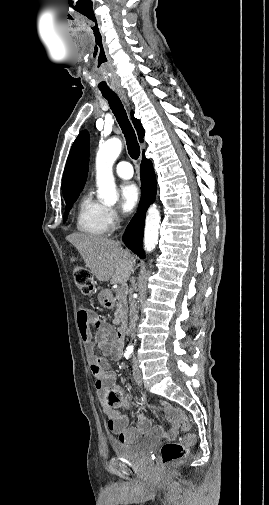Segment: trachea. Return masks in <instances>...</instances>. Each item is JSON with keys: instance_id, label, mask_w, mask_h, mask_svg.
Returning a JSON list of instances; mask_svg holds the SVG:
<instances>
[{"instance_id": "3493384b", "label": "trachea", "mask_w": 269, "mask_h": 505, "mask_svg": "<svg viewBox=\"0 0 269 505\" xmlns=\"http://www.w3.org/2000/svg\"><path fill=\"white\" fill-rule=\"evenodd\" d=\"M102 95L108 100L109 106L124 134L130 157L135 160L138 159L140 156L139 143L121 100L113 91L102 92Z\"/></svg>"}]
</instances>
